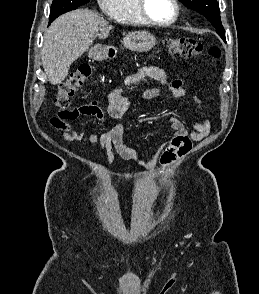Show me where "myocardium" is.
I'll return each mask as SVG.
<instances>
[{
    "instance_id": "obj_1",
    "label": "myocardium",
    "mask_w": 259,
    "mask_h": 294,
    "mask_svg": "<svg viewBox=\"0 0 259 294\" xmlns=\"http://www.w3.org/2000/svg\"><path fill=\"white\" fill-rule=\"evenodd\" d=\"M174 5V16L171 20L167 22H158L150 17L147 12V0H137V9L140 17L146 24L156 26V27H168L173 25L180 16V5L178 0H171Z\"/></svg>"
}]
</instances>
